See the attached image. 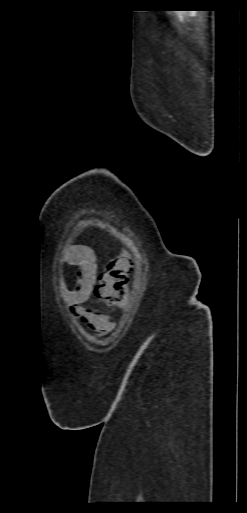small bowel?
<instances>
[{"label": "small bowel", "instance_id": "obj_1", "mask_svg": "<svg viewBox=\"0 0 247 513\" xmlns=\"http://www.w3.org/2000/svg\"><path fill=\"white\" fill-rule=\"evenodd\" d=\"M63 261L66 265L77 268L74 287L69 285L66 277L59 280V291L63 300L74 315L97 328L103 335H107L113 329V319L85 306L93 293L96 281V261L93 254L81 247L69 246L63 251Z\"/></svg>", "mask_w": 247, "mask_h": 513}]
</instances>
